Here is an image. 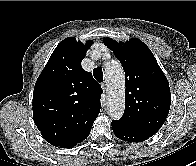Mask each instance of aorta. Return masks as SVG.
<instances>
[{
    "label": "aorta",
    "instance_id": "762f6f07",
    "mask_svg": "<svg viewBox=\"0 0 196 166\" xmlns=\"http://www.w3.org/2000/svg\"><path fill=\"white\" fill-rule=\"evenodd\" d=\"M105 78L108 115L113 119L122 117L125 109V74L118 61H110L105 64Z\"/></svg>",
    "mask_w": 196,
    "mask_h": 166
}]
</instances>
